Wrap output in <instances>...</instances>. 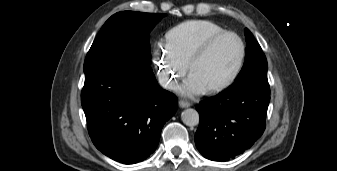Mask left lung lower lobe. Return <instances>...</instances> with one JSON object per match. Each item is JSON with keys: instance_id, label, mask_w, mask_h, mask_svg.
<instances>
[{"instance_id": "0a47b994", "label": "left lung lower lobe", "mask_w": 337, "mask_h": 171, "mask_svg": "<svg viewBox=\"0 0 337 171\" xmlns=\"http://www.w3.org/2000/svg\"><path fill=\"white\" fill-rule=\"evenodd\" d=\"M269 84L250 83L227 88L197 106L200 124L195 134L199 152L225 162L249 149L265 130Z\"/></svg>"}]
</instances>
